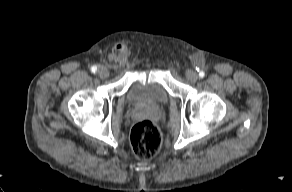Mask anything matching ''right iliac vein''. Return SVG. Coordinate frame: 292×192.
I'll use <instances>...</instances> for the list:
<instances>
[{"label":"right iliac vein","mask_w":292,"mask_h":192,"mask_svg":"<svg viewBox=\"0 0 292 192\" xmlns=\"http://www.w3.org/2000/svg\"><path fill=\"white\" fill-rule=\"evenodd\" d=\"M98 75L101 79H105L109 76V71L105 68H101L99 71H98Z\"/></svg>","instance_id":"right-iliac-vein-1"}]
</instances>
